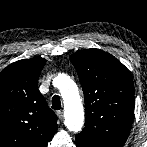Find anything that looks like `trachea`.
I'll use <instances>...</instances> for the list:
<instances>
[{"mask_svg":"<svg viewBox=\"0 0 147 147\" xmlns=\"http://www.w3.org/2000/svg\"><path fill=\"white\" fill-rule=\"evenodd\" d=\"M61 108V101L58 95L53 96L52 98V109L60 110Z\"/></svg>","mask_w":147,"mask_h":147,"instance_id":"obj_1","label":"trachea"}]
</instances>
